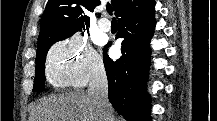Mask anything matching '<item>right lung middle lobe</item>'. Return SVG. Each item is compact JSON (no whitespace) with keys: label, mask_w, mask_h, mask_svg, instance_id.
I'll return each mask as SVG.
<instances>
[{"label":"right lung middle lobe","mask_w":217,"mask_h":121,"mask_svg":"<svg viewBox=\"0 0 217 121\" xmlns=\"http://www.w3.org/2000/svg\"><path fill=\"white\" fill-rule=\"evenodd\" d=\"M85 30V29H84ZM74 34V33H73ZM70 34L64 38L57 39V40H52L45 42L43 44H40L37 46V55H36V73H35V79H34V87L33 91H39L44 87V82H45V75H44V63H45V58L47 55V52L49 48L57 41L66 39L70 37Z\"/></svg>","instance_id":"dd1d6c3e"}]
</instances>
